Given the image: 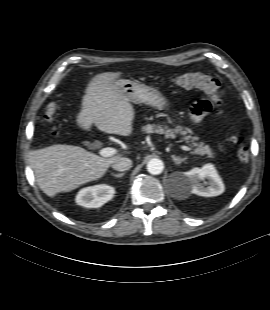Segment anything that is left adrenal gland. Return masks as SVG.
<instances>
[{"label":"left adrenal gland","mask_w":270,"mask_h":310,"mask_svg":"<svg viewBox=\"0 0 270 310\" xmlns=\"http://www.w3.org/2000/svg\"><path fill=\"white\" fill-rule=\"evenodd\" d=\"M171 157H172L174 163L177 165L180 164L181 162H184L187 159L186 157L181 158V157H177L175 155H172Z\"/></svg>","instance_id":"a2214340"}]
</instances>
